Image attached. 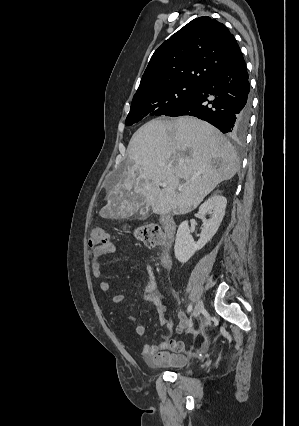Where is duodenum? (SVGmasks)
Returning a JSON list of instances; mask_svg holds the SVG:
<instances>
[{
	"label": "duodenum",
	"mask_w": 299,
	"mask_h": 426,
	"mask_svg": "<svg viewBox=\"0 0 299 426\" xmlns=\"http://www.w3.org/2000/svg\"><path fill=\"white\" fill-rule=\"evenodd\" d=\"M161 224L168 238H172L176 231V222L173 217L170 215H163L161 218ZM162 263L165 267L170 265V257L167 249H165L162 253Z\"/></svg>",
	"instance_id": "duodenum-1"
}]
</instances>
